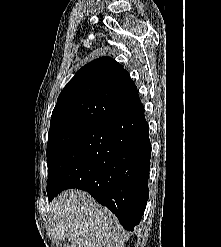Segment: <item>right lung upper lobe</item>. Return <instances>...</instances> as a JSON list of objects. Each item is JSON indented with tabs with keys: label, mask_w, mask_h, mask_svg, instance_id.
Here are the masks:
<instances>
[{
	"label": "right lung upper lobe",
	"mask_w": 221,
	"mask_h": 247,
	"mask_svg": "<svg viewBox=\"0 0 221 247\" xmlns=\"http://www.w3.org/2000/svg\"><path fill=\"white\" fill-rule=\"evenodd\" d=\"M141 105L128 72L110 57L83 66L60 93L50 129L69 125L93 127Z\"/></svg>",
	"instance_id": "1"
}]
</instances>
